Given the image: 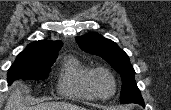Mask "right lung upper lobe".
Masks as SVG:
<instances>
[{
    "instance_id": "1",
    "label": "right lung upper lobe",
    "mask_w": 171,
    "mask_h": 110,
    "mask_svg": "<svg viewBox=\"0 0 171 110\" xmlns=\"http://www.w3.org/2000/svg\"><path fill=\"white\" fill-rule=\"evenodd\" d=\"M62 45L61 41L39 40L29 44L20 55L44 58L58 56V51Z\"/></svg>"
}]
</instances>
